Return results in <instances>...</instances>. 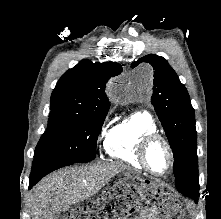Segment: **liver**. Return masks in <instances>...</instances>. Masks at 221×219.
I'll list each match as a JSON object with an SVG mask.
<instances>
[{"instance_id": "6515ba94", "label": "liver", "mask_w": 221, "mask_h": 219, "mask_svg": "<svg viewBox=\"0 0 221 219\" xmlns=\"http://www.w3.org/2000/svg\"><path fill=\"white\" fill-rule=\"evenodd\" d=\"M127 167L119 162L70 167L42 179L32 190V219H58L62 211L98 193Z\"/></svg>"}]
</instances>
